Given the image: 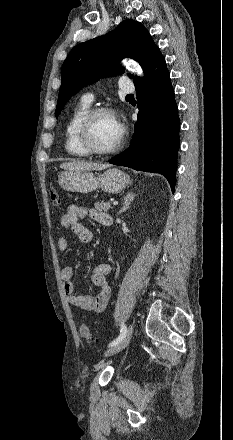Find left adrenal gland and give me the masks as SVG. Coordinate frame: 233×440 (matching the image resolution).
<instances>
[{"mask_svg": "<svg viewBox=\"0 0 233 440\" xmlns=\"http://www.w3.org/2000/svg\"><path fill=\"white\" fill-rule=\"evenodd\" d=\"M135 194L133 192H128L126 194V196L124 197V203H123V207L122 209L118 212V214H121L123 212H125L129 207L131 202L134 200L135 198Z\"/></svg>", "mask_w": 233, "mask_h": 440, "instance_id": "1", "label": "left adrenal gland"}]
</instances>
